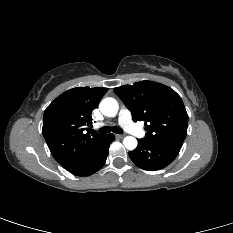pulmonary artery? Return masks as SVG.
Segmentation results:
<instances>
[{
	"label": "pulmonary artery",
	"instance_id": "1",
	"mask_svg": "<svg viewBox=\"0 0 233 233\" xmlns=\"http://www.w3.org/2000/svg\"><path fill=\"white\" fill-rule=\"evenodd\" d=\"M119 123L127 132L135 136H143V132L133 123L129 110L121 109L119 112Z\"/></svg>",
	"mask_w": 233,
	"mask_h": 233
}]
</instances>
